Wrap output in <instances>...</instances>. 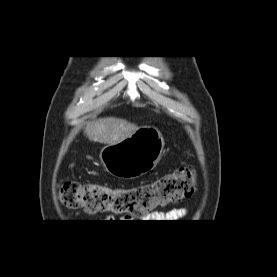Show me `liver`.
I'll use <instances>...</instances> for the list:
<instances>
[{
  "label": "liver",
  "mask_w": 277,
  "mask_h": 277,
  "mask_svg": "<svg viewBox=\"0 0 277 277\" xmlns=\"http://www.w3.org/2000/svg\"><path fill=\"white\" fill-rule=\"evenodd\" d=\"M139 127L118 118H100L88 123L85 133L89 139L104 144H116L130 137Z\"/></svg>",
  "instance_id": "liver-1"
}]
</instances>
